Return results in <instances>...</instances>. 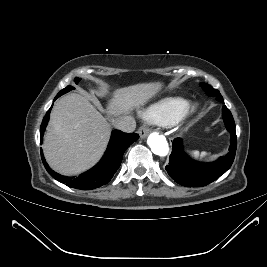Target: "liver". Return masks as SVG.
Instances as JSON below:
<instances>
[{"mask_svg": "<svg viewBox=\"0 0 267 267\" xmlns=\"http://www.w3.org/2000/svg\"><path fill=\"white\" fill-rule=\"evenodd\" d=\"M161 86L142 83L117 89L108 106L110 115L127 114L145 105ZM110 133V124L87 98L77 93L67 94L51 111L43 144L45 158L61 174H79L101 158Z\"/></svg>", "mask_w": 267, "mask_h": 267, "instance_id": "1", "label": "liver"}]
</instances>
